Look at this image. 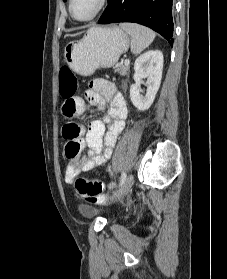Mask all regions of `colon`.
I'll return each instance as SVG.
<instances>
[{"instance_id": "obj_1", "label": "colon", "mask_w": 227, "mask_h": 279, "mask_svg": "<svg viewBox=\"0 0 227 279\" xmlns=\"http://www.w3.org/2000/svg\"><path fill=\"white\" fill-rule=\"evenodd\" d=\"M61 81L60 92L65 102L62 107V114L66 118L76 116L78 103L77 92L79 89V82L69 68H61L59 71ZM79 128L72 124H67L63 128V136L66 139L64 152L67 158L73 159L80 153L79 145L75 139L79 134ZM76 194L84 201L87 202H102L105 200L103 194L104 185L100 180H87L78 178L74 181Z\"/></svg>"}]
</instances>
